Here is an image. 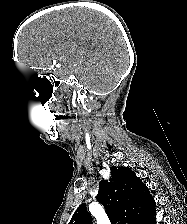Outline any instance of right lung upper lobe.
Masks as SVG:
<instances>
[{
  "label": "right lung upper lobe",
  "instance_id": "right-lung-upper-lobe-1",
  "mask_svg": "<svg viewBox=\"0 0 187 224\" xmlns=\"http://www.w3.org/2000/svg\"><path fill=\"white\" fill-rule=\"evenodd\" d=\"M97 201L101 203L111 221L117 224H135L155 209L149 189L127 167H111L109 181L101 180ZM92 217L86 204H81L69 224H91Z\"/></svg>",
  "mask_w": 187,
  "mask_h": 224
}]
</instances>
